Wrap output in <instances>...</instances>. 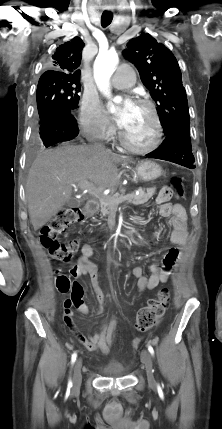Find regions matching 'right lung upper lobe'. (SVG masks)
<instances>
[{
  "label": "right lung upper lobe",
  "mask_w": 222,
  "mask_h": 429,
  "mask_svg": "<svg viewBox=\"0 0 222 429\" xmlns=\"http://www.w3.org/2000/svg\"><path fill=\"white\" fill-rule=\"evenodd\" d=\"M84 47L83 41L75 37L69 42L60 45L52 55L51 67L42 74L39 80L44 79H70L80 81L81 51Z\"/></svg>",
  "instance_id": "1"
}]
</instances>
